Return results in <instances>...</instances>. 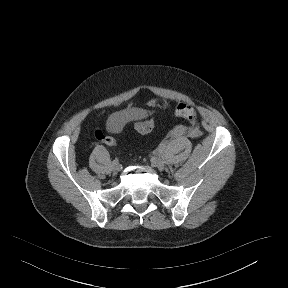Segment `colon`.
Here are the masks:
<instances>
[{"mask_svg": "<svg viewBox=\"0 0 288 288\" xmlns=\"http://www.w3.org/2000/svg\"><path fill=\"white\" fill-rule=\"evenodd\" d=\"M175 115L184 120H187L191 125H195L197 122V112L193 106L181 103L175 108ZM153 127V122L151 120L139 122L135 125V129L139 133H147L151 131ZM94 136L98 142L103 145L112 147L116 145V139L104 133L101 129L94 131Z\"/></svg>", "mask_w": 288, "mask_h": 288, "instance_id": "5ec220e1", "label": "colon"}]
</instances>
